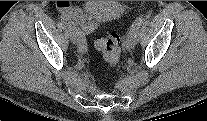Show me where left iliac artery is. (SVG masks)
Segmentation results:
<instances>
[{
  "instance_id": "44dca946",
  "label": "left iliac artery",
  "mask_w": 207,
  "mask_h": 121,
  "mask_svg": "<svg viewBox=\"0 0 207 121\" xmlns=\"http://www.w3.org/2000/svg\"><path fill=\"white\" fill-rule=\"evenodd\" d=\"M143 20H144L143 15H141L135 19V21L131 25V28L129 31V36H134L138 32Z\"/></svg>"
}]
</instances>
